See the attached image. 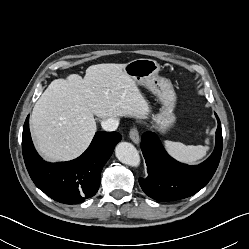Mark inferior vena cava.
I'll list each match as a JSON object with an SVG mask.
<instances>
[{
    "instance_id": "inferior-vena-cava-1",
    "label": "inferior vena cava",
    "mask_w": 249,
    "mask_h": 249,
    "mask_svg": "<svg viewBox=\"0 0 249 249\" xmlns=\"http://www.w3.org/2000/svg\"><path fill=\"white\" fill-rule=\"evenodd\" d=\"M118 125H119V122L115 118H108V119L102 120L101 122V126L103 130L108 131V132L115 131Z\"/></svg>"
}]
</instances>
